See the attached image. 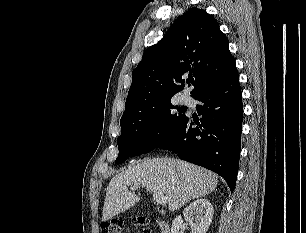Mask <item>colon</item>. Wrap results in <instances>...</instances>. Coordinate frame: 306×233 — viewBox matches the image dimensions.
Segmentation results:
<instances>
[{
    "instance_id": "1",
    "label": "colon",
    "mask_w": 306,
    "mask_h": 233,
    "mask_svg": "<svg viewBox=\"0 0 306 233\" xmlns=\"http://www.w3.org/2000/svg\"><path fill=\"white\" fill-rule=\"evenodd\" d=\"M140 225H145L146 221L144 218H138ZM125 223L122 219H112L102 224V233H123ZM143 233H150L148 229H143Z\"/></svg>"
}]
</instances>
